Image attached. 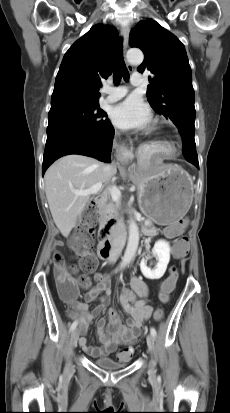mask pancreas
<instances>
[{"label":"pancreas","instance_id":"pancreas-1","mask_svg":"<svg viewBox=\"0 0 230 413\" xmlns=\"http://www.w3.org/2000/svg\"><path fill=\"white\" fill-rule=\"evenodd\" d=\"M120 204L116 203L110 196L109 190L106 196V200L101 204L99 208V215L102 220L112 219L118 215ZM143 233L146 236H155L158 234V229L151 225L149 221H145V227Z\"/></svg>","mask_w":230,"mask_h":413}]
</instances>
